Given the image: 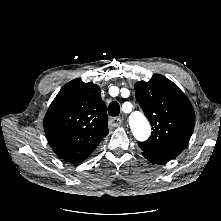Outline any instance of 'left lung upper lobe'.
Returning <instances> with one entry per match:
<instances>
[{
	"instance_id": "1",
	"label": "left lung upper lobe",
	"mask_w": 221,
	"mask_h": 221,
	"mask_svg": "<svg viewBox=\"0 0 221 221\" xmlns=\"http://www.w3.org/2000/svg\"><path fill=\"white\" fill-rule=\"evenodd\" d=\"M135 95L152 125V135L139 147L153 157L173 159L187 146L193 133L195 114L185 94L160 74L149 82L135 84Z\"/></svg>"
}]
</instances>
